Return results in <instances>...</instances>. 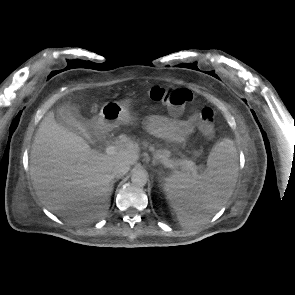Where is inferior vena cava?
Wrapping results in <instances>:
<instances>
[{"instance_id":"obj_1","label":"inferior vena cava","mask_w":295,"mask_h":295,"mask_svg":"<svg viewBox=\"0 0 295 295\" xmlns=\"http://www.w3.org/2000/svg\"><path fill=\"white\" fill-rule=\"evenodd\" d=\"M129 169H130V165L128 163L120 161L114 164L112 173H113V176L122 177L129 171Z\"/></svg>"}]
</instances>
